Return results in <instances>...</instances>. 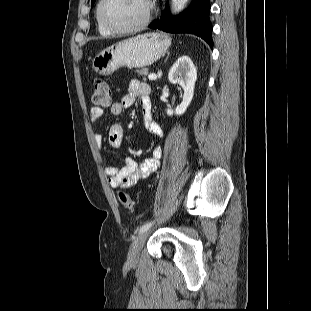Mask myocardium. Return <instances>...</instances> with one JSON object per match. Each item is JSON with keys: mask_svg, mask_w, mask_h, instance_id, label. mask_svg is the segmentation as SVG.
<instances>
[{"mask_svg": "<svg viewBox=\"0 0 311 311\" xmlns=\"http://www.w3.org/2000/svg\"><path fill=\"white\" fill-rule=\"evenodd\" d=\"M106 2H107V0H100L99 1L98 6H97V10H96V14H97V18L100 21V23L106 29H108L111 33L130 34V33L138 32V31L144 29L148 25V23L151 19L153 4H152L151 0H145L146 12H145L144 17L141 19V21H139L138 23H136L133 26L126 27V28L116 27V26L112 25L111 23H109L103 16V7H104V4Z\"/></svg>", "mask_w": 311, "mask_h": 311, "instance_id": "1", "label": "myocardium"}]
</instances>
